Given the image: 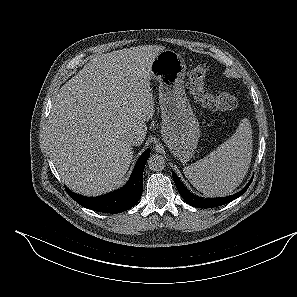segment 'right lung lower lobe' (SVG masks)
I'll return each instance as SVG.
<instances>
[{"label": "right lung lower lobe", "mask_w": 297, "mask_h": 297, "mask_svg": "<svg viewBox=\"0 0 297 297\" xmlns=\"http://www.w3.org/2000/svg\"><path fill=\"white\" fill-rule=\"evenodd\" d=\"M150 150H146L138 160L128 183L121 189L99 197H84L66 188L68 194L81 206L103 213H121L139 201L143 191V171Z\"/></svg>", "instance_id": "obj_1"}]
</instances>
